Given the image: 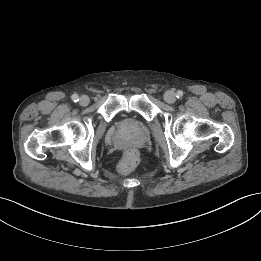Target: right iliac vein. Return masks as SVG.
<instances>
[{
    "mask_svg": "<svg viewBox=\"0 0 261 261\" xmlns=\"http://www.w3.org/2000/svg\"><path fill=\"white\" fill-rule=\"evenodd\" d=\"M89 101H90V100H89V97L86 96V95H83V96H81L80 99H79V104H80L81 106H86V105H88Z\"/></svg>",
    "mask_w": 261,
    "mask_h": 261,
    "instance_id": "1",
    "label": "right iliac vein"
}]
</instances>
